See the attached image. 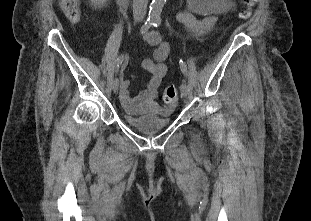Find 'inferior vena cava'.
Wrapping results in <instances>:
<instances>
[{
  "label": "inferior vena cava",
  "mask_w": 311,
  "mask_h": 221,
  "mask_svg": "<svg viewBox=\"0 0 311 221\" xmlns=\"http://www.w3.org/2000/svg\"><path fill=\"white\" fill-rule=\"evenodd\" d=\"M148 0H133L134 16H145Z\"/></svg>",
  "instance_id": "1"
}]
</instances>
